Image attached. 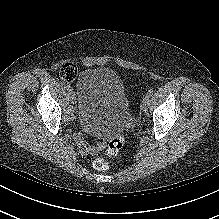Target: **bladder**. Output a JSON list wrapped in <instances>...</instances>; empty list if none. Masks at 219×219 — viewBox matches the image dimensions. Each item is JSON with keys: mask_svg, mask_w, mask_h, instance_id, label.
I'll return each mask as SVG.
<instances>
[{"mask_svg": "<svg viewBox=\"0 0 219 219\" xmlns=\"http://www.w3.org/2000/svg\"><path fill=\"white\" fill-rule=\"evenodd\" d=\"M76 92L77 120L83 128H95L113 134L131 121L123 82L112 69H85L77 80Z\"/></svg>", "mask_w": 219, "mask_h": 219, "instance_id": "bladder-1", "label": "bladder"}]
</instances>
